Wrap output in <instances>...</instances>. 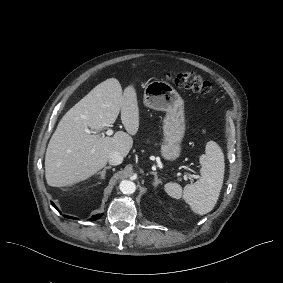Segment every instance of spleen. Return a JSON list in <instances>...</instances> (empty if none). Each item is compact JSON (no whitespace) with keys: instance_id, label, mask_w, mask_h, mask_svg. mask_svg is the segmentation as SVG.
<instances>
[{"instance_id":"spleen-1","label":"spleen","mask_w":283,"mask_h":283,"mask_svg":"<svg viewBox=\"0 0 283 283\" xmlns=\"http://www.w3.org/2000/svg\"><path fill=\"white\" fill-rule=\"evenodd\" d=\"M202 165L198 181L187 185L184 198L200 215L209 213L215 207L223 186L225 175V156L221 146L215 141L206 144V155L200 158ZM165 189L169 195L179 198L181 187L176 183H168Z\"/></svg>"}]
</instances>
